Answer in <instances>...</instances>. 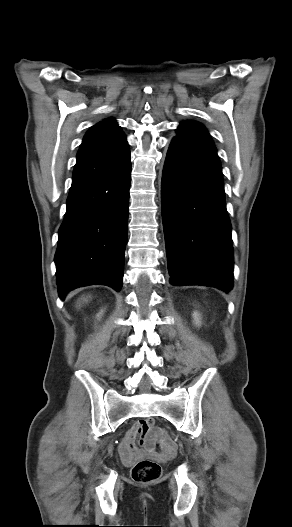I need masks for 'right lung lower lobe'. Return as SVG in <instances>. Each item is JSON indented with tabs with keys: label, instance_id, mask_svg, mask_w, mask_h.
<instances>
[{
	"label": "right lung lower lobe",
	"instance_id": "right-lung-lower-lobe-1",
	"mask_svg": "<svg viewBox=\"0 0 292 527\" xmlns=\"http://www.w3.org/2000/svg\"><path fill=\"white\" fill-rule=\"evenodd\" d=\"M130 180L127 142L78 152L55 254L61 299L72 289L94 284L120 291Z\"/></svg>",
	"mask_w": 292,
	"mask_h": 527
}]
</instances>
